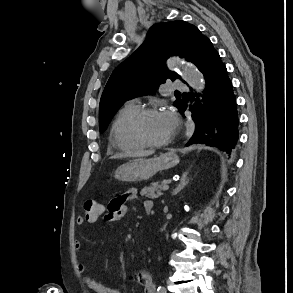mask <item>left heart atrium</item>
Returning a JSON list of instances; mask_svg holds the SVG:
<instances>
[{
  "label": "left heart atrium",
  "instance_id": "39dd6f15",
  "mask_svg": "<svg viewBox=\"0 0 293 293\" xmlns=\"http://www.w3.org/2000/svg\"><path fill=\"white\" fill-rule=\"evenodd\" d=\"M168 115H169L170 120H171L172 123H173V117H172L170 114H168Z\"/></svg>",
  "mask_w": 293,
  "mask_h": 293
}]
</instances>
